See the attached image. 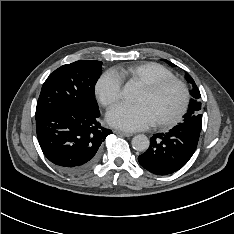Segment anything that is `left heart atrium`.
<instances>
[{"label": "left heart atrium", "mask_w": 234, "mask_h": 234, "mask_svg": "<svg viewBox=\"0 0 234 234\" xmlns=\"http://www.w3.org/2000/svg\"><path fill=\"white\" fill-rule=\"evenodd\" d=\"M106 119L111 126L125 131L145 129L154 123L150 113L142 104L115 106L108 111Z\"/></svg>", "instance_id": "39dd6f15"}]
</instances>
